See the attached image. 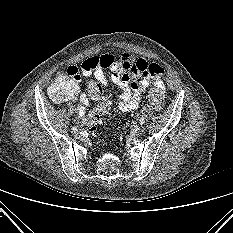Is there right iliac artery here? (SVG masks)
<instances>
[{
    "mask_svg": "<svg viewBox=\"0 0 233 233\" xmlns=\"http://www.w3.org/2000/svg\"><path fill=\"white\" fill-rule=\"evenodd\" d=\"M77 130H78V129H77L76 126H74V127L71 128V131H72L73 133L77 132Z\"/></svg>",
    "mask_w": 233,
    "mask_h": 233,
    "instance_id": "obj_1",
    "label": "right iliac artery"
}]
</instances>
